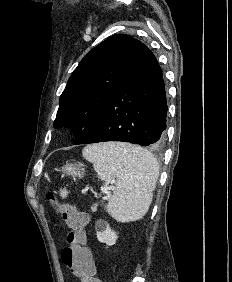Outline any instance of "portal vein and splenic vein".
Instances as JSON below:
<instances>
[{
  "label": "portal vein and splenic vein",
  "mask_w": 232,
  "mask_h": 282,
  "mask_svg": "<svg viewBox=\"0 0 232 282\" xmlns=\"http://www.w3.org/2000/svg\"><path fill=\"white\" fill-rule=\"evenodd\" d=\"M107 190H108L107 185H106V186H104V187H101V191H102V192H106Z\"/></svg>",
  "instance_id": "18ae733b"
}]
</instances>
